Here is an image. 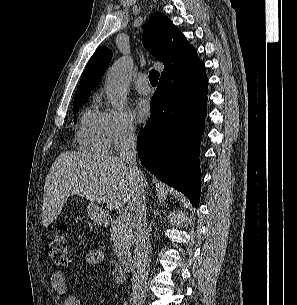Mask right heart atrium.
I'll return each mask as SVG.
<instances>
[{"label":"right heart atrium","mask_w":297,"mask_h":305,"mask_svg":"<svg viewBox=\"0 0 297 305\" xmlns=\"http://www.w3.org/2000/svg\"><path fill=\"white\" fill-rule=\"evenodd\" d=\"M104 126L109 148L118 152L129 146L137 138V129L132 116L127 111L104 113Z\"/></svg>","instance_id":"obj_1"}]
</instances>
